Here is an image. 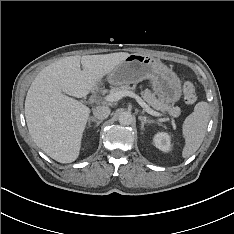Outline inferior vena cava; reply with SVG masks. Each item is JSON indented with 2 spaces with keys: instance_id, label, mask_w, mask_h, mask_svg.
<instances>
[{
  "instance_id": "602c4592",
  "label": "inferior vena cava",
  "mask_w": 234,
  "mask_h": 234,
  "mask_svg": "<svg viewBox=\"0 0 234 234\" xmlns=\"http://www.w3.org/2000/svg\"><path fill=\"white\" fill-rule=\"evenodd\" d=\"M111 110L107 106H97L93 110V115L95 119L104 120L108 118Z\"/></svg>"
}]
</instances>
